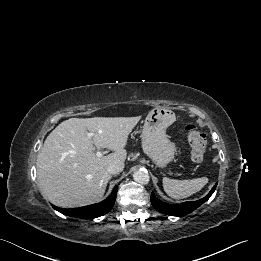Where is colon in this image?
Here are the masks:
<instances>
[{
  "label": "colon",
  "instance_id": "colon-1",
  "mask_svg": "<svg viewBox=\"0 0 261 261\" xmlns=\"http://www.w3.org/2000/svg\"><path fill=\"white\" fill-rule=\"evenodd\" d=\"M187 139L190 144L191 160L195 163L203 161L206 152V138L195 125L186 127Z\"/></svg>",
  "mask_w": 261,
  "mask_h": 261
}]
</instances>
